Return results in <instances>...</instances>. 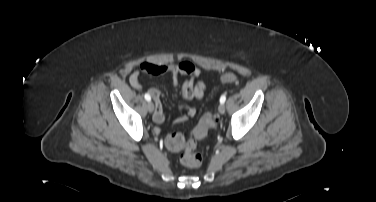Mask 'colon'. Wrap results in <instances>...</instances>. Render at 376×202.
I'll use <instances>...</instances> for the list:
<instances>
[{"mask_svg":"<svg viewBox=\"0 0 376 202\" xmlns=\"http://www.w3.org/2000/svg\"><path fill=\"white\" fill-rule=\"evenodd\" d=\"M222 82L238 84L239 77L234 73H226L221 77ZM214 125V117L210 114H204L198 125L189 136L181 133H168L164 136L165 146L171 151H182L181 162L189 168L199 167L202 163V157L197 151V140L207 135L208 131Z\"/></svg>","mask_w":376,"mask_h":202,"instance_id":"5ec220e1","label":"colon"}]
</instances>
